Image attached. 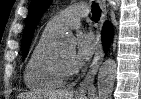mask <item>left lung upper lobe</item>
<instances>
[{
  "instance_id": "5c2ea615",
  "label": "left lung upper lobe",
  "mask_w": 141,
  "mask_h": 99,
  "mask_svg": "<svg viewBox=\"0 0 141 99\" xmlns=\"http://www.w3.org/2000/svg\"><path fill=\"white\" fill-rule=\"evenodd\" d=\"M50 3L51 0H32L30 4L29 14L22 38V51L24 57H26L31 45V39L34 34L35 27Z\"/></svg>"
}]
</instances>
